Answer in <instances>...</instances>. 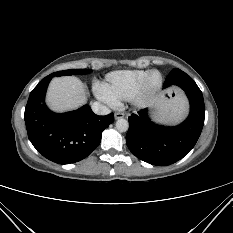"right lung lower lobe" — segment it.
<instances>
[{
    "label": "right lung lower lobe",
    "instance_id": "1",
    "mask_svg": "<svg viewBox=\"0 0 233 233\" xmlns=\"http://www.w3.org/2000/svg\"><path fill=\"white\" fill-rule=\"evenodd\" d=\"M53 77L48 75L32 90L24 119L29 140L40 154L55 163L70 164L95 150L114 114L98 116L88 105L63 114L50 111L44 98Z\"/></svg>",
    "mask_w": 233,
    "mask_h": 233
}]
</instances>
